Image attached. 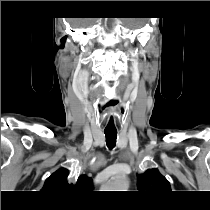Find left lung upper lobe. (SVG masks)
I'll list each match as a JSON object with an SVG mask.
<instances>
[{"instance_id":"left-lung-upper-lobe-1","label":"left lung upper lobe","mask_w":210,"mask_h":210,"mask_svg":"<svg viewBox=\"0 0 210 210\" xmlns=\"http://www.w3.org/2000/svg\"><path fill=\"white\" fill-rule=\"evenodd\" d=\"M138 189L142 193H162L170 191V183L157 170L148 169L144 174H137Z\"/></svg>"}]
</instances>
